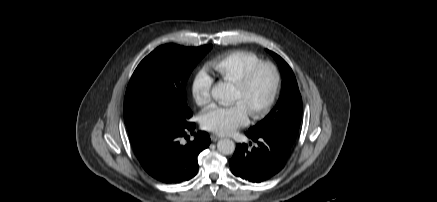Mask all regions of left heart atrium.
<instances>
[{"label":"left heart atrium","mask_w":437,"mask_h":202,"mask_svg":"<svg viewBox=\"0 0 437 202\" xmlns=\"http://www.w3.org/2000/svg\"><path fill=\"white\" fill-rule=\"evenodd\" d=\"M248 111L242 102L229 106H215L202 115L201 124L204 129L219 135L231 134L248 121Z\"/></svg>","instance_id":"1"}]
</instances>
